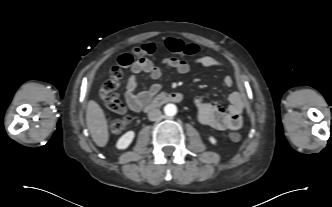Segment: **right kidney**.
<instances>
[{
	"mask_svg": "<svg viewBox=\"0 0 332 207\" xmlns=\"http://www.w3.org/2000/svg\"><path fill=\"white\" fill-rule=\"evenodd\" d=\"M135 137L134 131H128L117 141L116 147L120 150L126 149L132 143Z\"/></svg>",
	"mask_w": 332,
	"mask_h": 207,
	"instance_id": "1",
	"label": "right kidney"
}]
</instances>
